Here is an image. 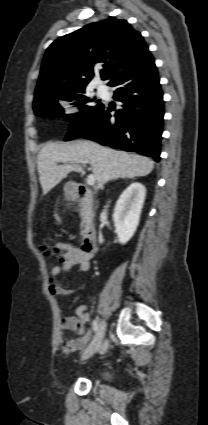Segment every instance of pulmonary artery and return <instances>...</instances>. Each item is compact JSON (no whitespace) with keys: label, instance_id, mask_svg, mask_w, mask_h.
Listing matches in <instances>:
<instances>
[{"label":"pulmonary artery","instance_id":"e3ab8cb5","mask_svg":"<svg viewBox=\"0 0 208 425\" xmlns=\"http://www.w3.org/2000/svg\"><path fill=\"white\" fill-rule=\"evenodd\" d=\"M97 91H98V93H99V94H101V95H104V94H106V93H107V89H106V87H105L104 85H99V86L97 87Z\"/></svg>","mask_w":208,"mask_h":425}]
</instances>
